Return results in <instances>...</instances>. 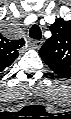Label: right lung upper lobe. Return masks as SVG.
I'll list each match as a JSON object with an SVG mask.
<instances>
[{
    "instance_id": "1",
    "label": "right lung upper lobe",
    "mask_w": 71,
    "mask_h": 119,
    "mask_svg": "<svg viewBox=\"0 0 71 119\" xmlns=\"http://www.w3.org/2000/svg\"><path fill=\"white\" fill-rule=\"evenodd\" d=\"M23 38L19 40H8L4 37L0 39V71L9 67L18 57V50L24 45Z\"/></svg>"
}]
</instances>
